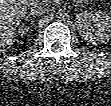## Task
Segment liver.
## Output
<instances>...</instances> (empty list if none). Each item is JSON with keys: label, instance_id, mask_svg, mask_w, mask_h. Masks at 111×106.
I'll return each mask as SVG.
<instances>
[{"label": "liver", "instance_id": "6515ba94", "mask_svg": "<svg viewBox=\"0 0 111 106\" xmlns=\"http://www.w3.org/2000/svg\"><path fill=\"white\" fill-rule=\"evenodd\" d=\"M27 0L0 1V51L5 52L15 40L16 28L25 17Z\"/></svg>", "mask_w": 111, "mask_h": 106}]
</instances>
